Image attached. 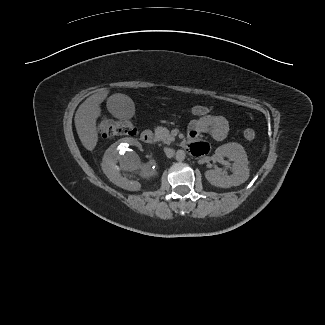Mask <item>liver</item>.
Segmentation results:
<instances>
[{"instance_id":"1","label":"liver","mask_w":325,"mask_h":325,"mask_svg":"<svg viewBox=\"0 0 325 325\" xmlns=\"http://www.w3.org/2000/svg\"><path fill=\"white\" fill-rule=\"evenodd\" d=\"M109 90L102 89L88 97L78 108L75 114V127L83 146L93 151L98 143L97 119L101 116V103L106 99ZM121 99L133 101L127 95L114 94L108 97V102H118Z\"/></svg>"}]
</instances>
